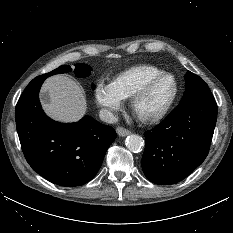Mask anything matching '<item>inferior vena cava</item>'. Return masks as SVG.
Returning a JSON list of instances; mask_svg holds the SVG:
<instances>
[{"label":"inferior vena cava","instance_id":"1","mask_svg":"<svg viewBox=\"0 0 233 233\" xmlns=\"http://www.w3.org/2000/svg\"><path fill=\"white\" fill-rule=\"evenodd\" d=\"M99 117L103 122L106 123L118 122V117L107 109H101L99 113Z\"/></svg>","mask_w":233,"mask_h":233}]
</instances>
